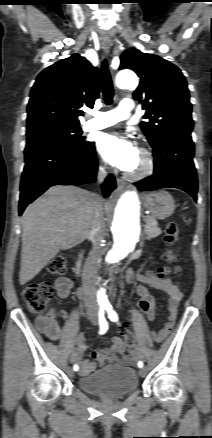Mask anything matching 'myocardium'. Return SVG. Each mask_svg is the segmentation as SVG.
<instances>
[{"instance_id": "1", "label": "myocardium", "mask_w": 212, "mask_h": 438, "mask_svg": "<svg viewBox=\"0 0 212 438\" xmlns=\"http://www.w3.org/2000/svg\"><path fill=\"white\" fill-rule=\"evenodd\" d=\"M142 162L141 167L130 169L126 172L127 177L134 180H142L151 176L156 169V162L153 155L146 149H141L138 155Z\"/></svg>"}]
</instances>
